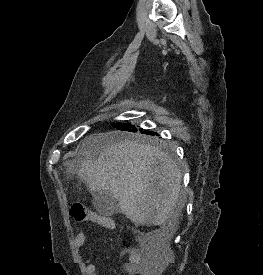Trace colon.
<instances>
[{
    "instance_id": "5ec220e1",
    "label": "colon",
    "mask_w": 263,
    "mask_h": 275,
    "mask_svg": "<svg viewBox=\"0 0 263 275\" xmlns=\"http://www.w3.org/2000/svg\"><path fill=\"white\" fill-rule=\"evenodd\" d=\"M71 216L78 222H94L101 223L107 228H113V223L103 221V218L87 210L83 205L76 203L70 209ZM149 265L150 273L148 275H154L158 270L160 263L162 262V255L166 253V250L160 246H152L149 251Z\"/></svg>"
}]
</instances>
